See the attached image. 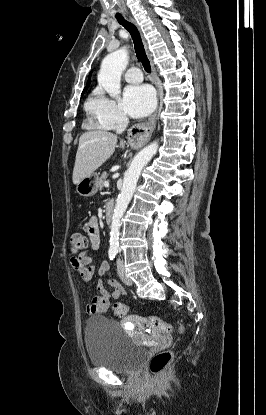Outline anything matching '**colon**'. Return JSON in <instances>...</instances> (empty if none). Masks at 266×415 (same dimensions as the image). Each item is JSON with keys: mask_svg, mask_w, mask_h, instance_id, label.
I'll use <instances>...</instances> for the list:
<instances>
[{"mask_svg": "<svg viewBox=\"0 0 266 415\" xmlns=\"http://www.w3.org/2000/svg\"><path fill=\"white\" fill-rule=\"evenodd\" d=\"M69 245L72 253L77 254L87 247V239L81 232H73L69 237ZM112 313L116 317H124L128 312V307L123 303H115L111 307ZM149 325L158 332L168 333L171 331V325L156 316L148 318ZM183 332V327H181ZM172 352L170 350H162L155 353L149 364L152 374H161L172 360Z\"/></svg>", "mask_w": 266, "mask_h": 415, "instance_id": "1", "label": "colon"}]
</instances>
